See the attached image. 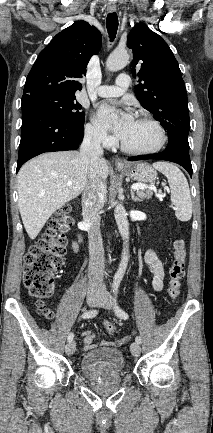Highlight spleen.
I'll list each match as a JSON object with an SVG mask.
<instances>
[{
  "instance_id": "obj_1",
  "label": "spleen",
  "mask_w": 213,
  "mask_h": 433,
  "mask_svg": "<svg viewBox=\"0 0 213 433\" xmlns=\"http://www.w3.org/2000/svg\"><path fill=\"white\" fill-rule=\"evenodd\" d=\"M153 167L167 177L176 218L183 222L189 221L192 216V200L186 177L171 163L156 162Z\"/></svg>"
}]
</instances>
